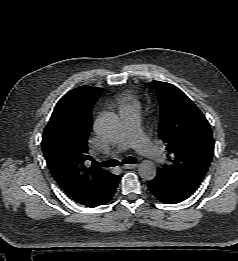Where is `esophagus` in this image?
<instances>
[{"label":"esophagus","mask_w":238,"mask_h":261,"mask_svg":"<svg viewBox=\"0 0 238 261\" xmlns=\"http://www.w3.org/2000/svg\"><path fill=\"white\" fill-rule=\"evenodd\" d=\"M136 167H138V164H125L122 166L124 169H134Z\"/></svg>","instance_id":"esophagus-1"}]
</instances>
